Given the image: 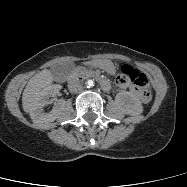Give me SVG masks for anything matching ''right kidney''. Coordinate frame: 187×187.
I'll return each instance as SVG.
<instances>
[{"instance_id":"right-kidney-1","label":"right kidney","mask_w":187,"mask_h":187,"mask_svg":"<svg viewBox=\"0 0 187 187\" xmlns=\"http://www.w3.org/2000/svg\"><path fill=\"white\" fill-rule=\"evenodd\" d=\"M60 88L61 87L59 85H52L42 94V100L39 103L32 118L33 122L42 128L49 127L50 124L54 122L62 113L63 107L53 108L49 113H45L43 109L46 104H50L54 101L55 96L59 92Z\"/></svg>"}]
</instances>
